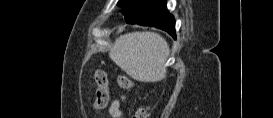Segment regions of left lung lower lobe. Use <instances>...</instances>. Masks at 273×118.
Masks as SVG:
<instances>
[{
	"mask_svg": "<svg viewBox=\"0 0 273 118\" xmlns=\"http://www.w3.org/2000/svg\"><path fill=\"white\" fill-rule=\"evenodd\" d=\"M137 24L144 26H152L166 31L174 39L176 38L175 34V19L168 12L167 7L165 6L161 11L149 16L148 18L136 22ZM134 24V23H133Z\"/></svg>",
	"mask_w": 273,
	"mask_h": 118,
	"instance_id": "obj_1",
	"label": "left lung lower lobe"
}]
</instances>
